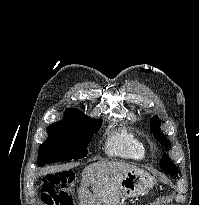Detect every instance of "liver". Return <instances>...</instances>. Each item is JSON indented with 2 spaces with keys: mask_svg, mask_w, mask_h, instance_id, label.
<instances>
[{
  "mask_svg": "<svg viewBox=\"0 0 199 205\" xmlns=\"http://www.w3.org/2000/svg\"><path fill=\"white\" fill-rule=\"evenodd\" d=\"M131 172H143L136 166L117 161H99L88 165L78 188L80 205H118L120 187ZM91 185L92 193L88 190Z\"/></svg>",
  "mask_w": 199,
  "mask_h": 205,
  "instance_id": "6515ba94",
  "label": "liver"
}]
</instances>
